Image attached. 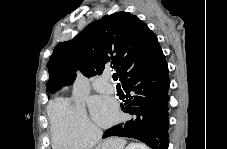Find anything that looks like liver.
Returning <instances> with one entry per match:
<instances>
[{"label": "liver", "instance_id": "liver-1", "mask_svg": "<svg viewBox=\"0 0 227 149\" xmlns=\"http://www.w3.org/2000/svg\"><path fill=\"white\" fill-rule=\"evenodd\" d=\"M126 143L124 139L112 137L97 145L95 149H124Z\"/></svg>", "mask_w": 227, "mask_h": 149}]
</instances>
